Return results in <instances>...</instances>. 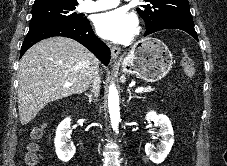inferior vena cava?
Wrapping results in <instances>:
<instances>
[{"mask_svg": "<svg viewBox=\"0 0 227 166\" xmlns=\"http://www.w3.org/2000/svg\"><path fill=\"white\" fill-rule=\"evenodd\" d=\"M99 88H100V77L98 76V72H96L93 79V89H94L95 95L97 96L99 93Z\"/></svg>", "mask_w": 227, "mask_h": 166, "instance_id": "inferior-vena-cava-1", "label": "inferior vena cava"}]
</instances>
